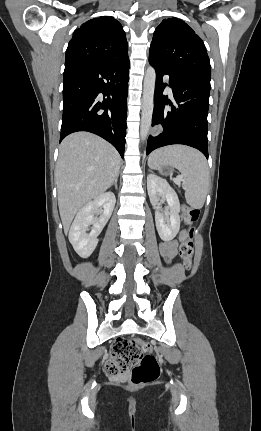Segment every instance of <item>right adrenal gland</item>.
Returning <instances> with one entry per match:
<instances>
[{"mask_svg": "<svg viewBox=\"0 0 261 431\" xmlns=\"http://www.w3.org/2000/svg\"><path fill=\"white\" fill-rule=\"evenodd\" d=\"M118 177H119V174L116 176V178L114 179V182L111 184V186H113V185L115 186L116 190L118 189V185H117Z\"/></svg>", "mask_w": 261, "mask_h": 431, "instance_id": "right-adrenal-gland-1", "label": "right adrenal gland"}]
</instances>
